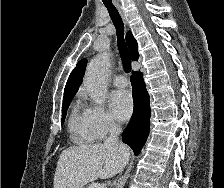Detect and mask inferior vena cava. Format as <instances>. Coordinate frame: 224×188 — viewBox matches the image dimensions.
Listing matches in <instances>:
<instances>
[{
  "mask_svg": "<svg viewBox=\"0 0 224 188\" xmlns=\"http://www.w3.org/2000/svg\"><path fill=\"white\" fill-rule=\"evenodd\" d=\"M121 133V128L114 121L110 123L109 127V137L104 141L105 146H113L124 148L125 145L119 142V134Z\"/></svg>",
  "mask_w": 224,
  "mask_h": 188,
  "instance_id": "602c4592",
  "label": "inferior vena cava"
}]
</instances>
